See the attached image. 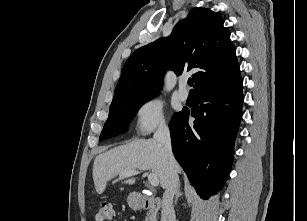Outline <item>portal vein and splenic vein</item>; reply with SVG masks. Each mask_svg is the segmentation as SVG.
I'll return each mask as SVG.
<instances>
[{"label": "portal vein and splenic vein", "mask_w": 307, "mask_h": 221, "mask_svg": "<svg viewBox=\"0 0 307 221\" xmlns=\"http://www.w3.org/2000/svg\"><path fill=\"white\" fill-rule=\"evenodd\" d=\"M139 173H140V171H138V170H132V171H127V172L121 173L119 175V177L120 178H127V177H130V176H133V175H137ZM148 181L152 186H158L159 185V180H158L156 174H154V173H150L148 175Z\"/></svg>", "instance_id": "obj_1"}]
</instances>
